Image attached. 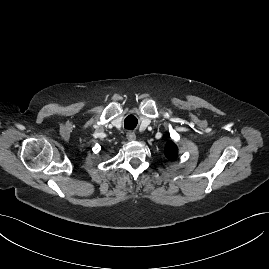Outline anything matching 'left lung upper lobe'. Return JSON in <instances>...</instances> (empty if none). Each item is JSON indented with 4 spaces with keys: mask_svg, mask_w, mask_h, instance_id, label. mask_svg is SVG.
Returning <instances> with one entry per match:
<instances>
[{
    "mask_svg": "<svg viewBox=\"0 0 269 269\" xmlns=\"http://www.w3.org/2000/svg\"><path fill=\"white\" fill-rule=\"evenodd\" d=\"M177 154V146L172 141H169L165 146V155L169 160H174L177 157Z\"/></svg>",
    "mask_w": 269,
    "mask_h": 269,
    "instance_id": "5c2ea615",
    "label": "left lung upper lobe"
}]
</instances>
